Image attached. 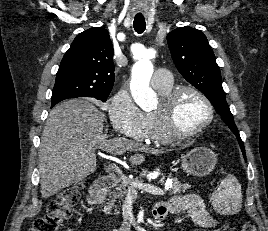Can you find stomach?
<instances>
[{"label": "stomach", "mask_w": 268, "mask_h": 231, "mask_svg": "<svg viewBox=\"0 0 268 231\" xmlns=\"http://www.w3.org/2000/svg\"><path fill=\"white\" fill-rule=\"evenodd\" d=\"M217 155L206 147L191 149L182 155L181 167L187 175L206 176L215 168Z\"/></svg>", "instance_id": "0dacf381"}]
</instances>
